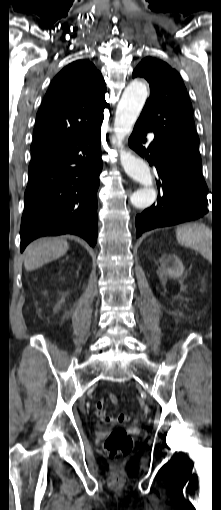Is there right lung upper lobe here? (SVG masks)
Listing matches in <instances>:
<instances>
[{"label": "right lung upper lobe", "instance_id": "cb5924a9", "mask_svg": "<svg viewBox=\"0 0 221 510\" xmlns=\"http://www.w3.org/2000/svg\"><path fill=\"white\" fill-rule=\"evenodd\" d=\"M106 86L88 60H77L53 79L37 112L32 154L87 133L103 120Z\"/></svg>", "mask_w": 221, "mask_h": 510}]
</instances>
